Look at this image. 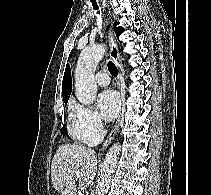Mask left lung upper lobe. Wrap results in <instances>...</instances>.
Segmentation results:
<instances>
[{
	"label": "left lung upper lobe",
	"mask_w": 211,
	"mask_h": 195,
	"mask_svg": "<svg viewBox=\"0 0 211 195\" xmlns=\"http://www.w3.org/2000/svg\"><path fill=\"white\" fill-rule=\"evenodd\" d=\"M119 22H115L114 23V29H115V33L116 36L119 37V35L124 31V29L122 27H116V25H118Z\"/></svg>",
	"instance_id": "1"
}]
</instances>
